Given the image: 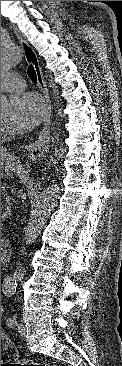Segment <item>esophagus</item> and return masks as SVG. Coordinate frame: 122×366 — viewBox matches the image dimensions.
I'll return each instance as SVG.
<instances>
[{
    "label": "esophagus",
    "mask_w": 122,
    "mask_h": 366,
    "mask_svg": "<svg viewBox=\"0 0 122 366\" xmlns=\"http://www.w3.org/2000/svg\"><path fill=\"white\" fill-rule=\"evenodd\" d=\"M21 47L23 49L25 58L28 63L32 64L37 75L38 86L41 89L44 101L46 105L45 110V122L42 131L39 133L38 140L35 143L28 146L30 153L37 152L39 150H46L50 144V124H51V112L52 106L50 101L49 92L44 81L43 73L39 64V60L34 49L25 41L23 38L19 37Z\"/></svg>",
    "instance_id": "obj_1"
}]
</instances>
